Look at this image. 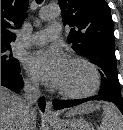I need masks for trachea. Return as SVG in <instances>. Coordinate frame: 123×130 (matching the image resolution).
I'll return each mask as SVG.
<instances>
[{"mask_svg": "<svg viewBox=\"0 0 123 130\" xmlns=\"http://www.w3.org/2000/svg\"><path fill=\"white\" fill-rule=\"evenodd\" d=\"M36 2H37L38 4H40V3L43 2V0H36Z\"/></svg>", "mask_w": 123, "mask_h": 130, "instance_id": "1", "label": "trachea"}]
</instances>
